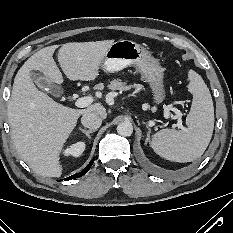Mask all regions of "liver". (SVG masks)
Wrapping results in <instances>:
<instances>
[{"label":"liver","mask_w":233,"mask_h":233,"mask_svg":"<svg viewBox=\"0 0 233 233\" xmlns=\"http://www.w3.org/2000/svg\"><path fill=\"white\" fill-rule=\"evenodd\" d=\"M114 40L72 42L61 46L58 62L70 80L93 81L99 76L104 55ZM57 45L33 54L18 70L7 105L8 123L14 146L21 158L38 175L59 177L62 174L60 153L85 113L107 117L99 102L85 109H72L55 102L34 85L31 71L42 72L50 81L63 83L62 73L53 54Z\"/></svg>","instance_id":"1"}]
</instances>
